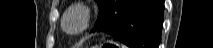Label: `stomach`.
<instances>
[{"label": "stomach", "instance_id": "0dacf381", "mask_svg": "<svg viewBox=\"0 0 213 48\" xmlns=\"http://www.w3.org/2000/svg\"><path fill=\"white\" fill-rule=\"evenodd\" d=\"M104 44H99V45H95L94 47L92 48H102Z\"/></svg>", "mask_w": 213, "mask_h": 48}]
</instances>
